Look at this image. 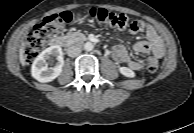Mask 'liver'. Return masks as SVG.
Instances as JSON below:
<instances>
[{
  "mask_svg": "<svg viewBox=\"0 0 194 133\" xmlns=\"http://www.w3.org/2000/svg\"><path fill=\"white\" fill-rule=\"evenodd\" d=\"M24 49H25V44L23 43L21 48H20V62L24 66L25 65V57H24Z\"/></svg>",
  "mask_w": 194,
  "mask_h": 133,
  "instance_id": "liver-1",
  "label": "liver"
}]
</instances>
